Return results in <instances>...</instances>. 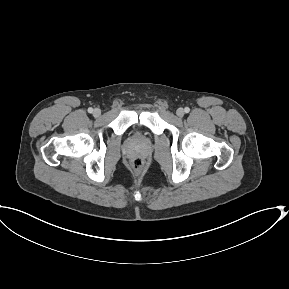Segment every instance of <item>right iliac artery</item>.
<instances>
[{
  "label": "right iliac artery",
  "instance_id": "82829eb1",
  "mask_svg": "<svg viewBox=\"0 0 289 289\" xmlns=\"http://www.w3.org/2000/svg\"><path fill=\"white\" fill-rule=\"evenodd\" d=\"M88 112H89V113H92V112H93V108H91V107L88 108Z\"/></svg>",
  "mask_w": 289,
  "mask_h": 289
}]
</instances>
